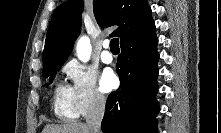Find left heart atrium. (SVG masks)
<instances>
[{
	"instance_id": "39dd6f15",
	"label": "left heart atrium",
	"mask_w": 221,
	"mask_h": 133,
	"mask_svg": "<svg viewBox=\"0 0 221 133\" xmlns=\"http://www.w3.org/2000/svg\"><path fill=\"white\" fill-rule=\"evenodd\" d=\"M117 84V78L111 69H106L101 75L100 85L101 88L108 92L112 90Z\"/></svg>"
}]
</instances>
